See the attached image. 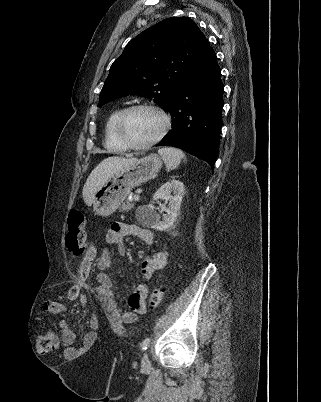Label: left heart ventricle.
I'll use <instances>...</instances> for the list:
<instances>
[{"label":"left heart ventricle","mask_w":321,"mask_h":402,"mask_svg":"<svg viewBox=\"0 0 321 402\" xmlns=\"http://www.w3.org/2000/svg\"><path fill=\"white\" fill-rule=\"evenodd\" d=\"M163 126L159 114L151 110H135L125 119L123 131L126 137L135 144H144L154 139Z\"/></svg>","instance_id":"1"}]
</instances>
